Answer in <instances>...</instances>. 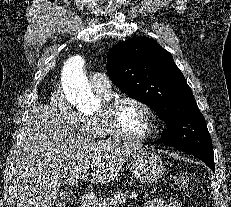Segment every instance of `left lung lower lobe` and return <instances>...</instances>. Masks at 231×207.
Listing matches in <instances>:
<instances>
[{
    "label": "left lung lower lobe",
    "instance_id": "1",
    "mask_svg": "<svg viewBox=\"0 0 231 207\" xmlns=\"http://www.w3.org/2000/svg\"><path fill=\"white\" fill-rule=\"evenodd\" d=\"M184 151L201 159L205 164H207L213 170V172H215L213 152L198 150V149L195 150L184 149Z\"/></svg>",
    "mask_w": 231,
    "mask_h": 207
}]
</instances>
